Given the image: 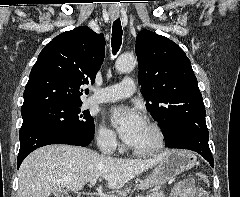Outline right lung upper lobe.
<instances>
[{"label": "right lung upper lobe", "instance_id": "1", "mask_svg": "<svg viewBox=\"0 0 240 197\" xmlns=\"http://www.w3.org/2000/svg\"><path fill=\"white\" fill-rule=\"evenodd\" d=\"M104 57L103 34L87 26L56 36L40 52L30 72L21 110L48 103L82 102L83 86L94 83Z\"/></svg>", "mask_w": 240, "mask_h": 197}]
</instances>
